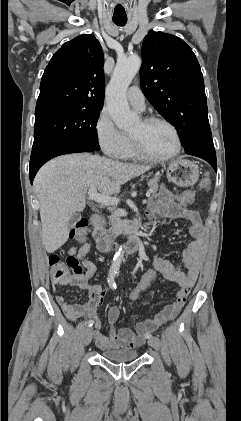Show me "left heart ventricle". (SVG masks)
<instances>
[{
	"mask_svg": "<svg viewBox=\"0 0 241 421\" xmlns=\"http://www.w3.org/2000/svg\"><path fill=\"white\" fill-rule=\"evenodd\" d=\"M130 134L137 136L145 150L154 156H165L171 153L176 145L172 130L162 123L144 125L139 121Z\"/></svg>",
	"mask_w": 241,
	"mask_h": 421,
	"instance_id": "obj_1",
	"label": "left heart ventricle"
}]
</instances>
